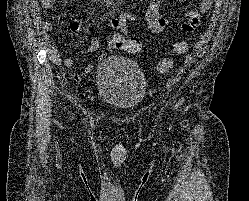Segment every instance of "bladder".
Wrapping results in <instances>:
<instances>
[{
  "label": "bladder",
  "instance_id": "obj_1",
  "mask_svg": "<svg viewBox=\"0 0 249 201\" xmlns=\"http://www.w3.org/2000/svg\"><path fill=\"white\" fill-rule=\"evenodd\" d=\"M96 83L100 98L121 111H131L143 100L146 81L140 67L132 60L107 57L96 70Z\"/></svg>",
  "mask_w": 249,
  "mask_h": 201
}]
</instances>
